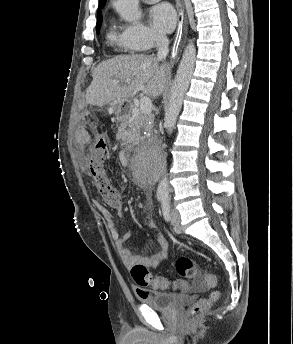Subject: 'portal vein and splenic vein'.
Returning <instances> with one entry per match:
<instances>
[{"mask_svg":"<svg viewBox=\"0 0 293 344\" xmlns=\"http://www.w3.org/2000/svg\"><path fill=\"white\" fill-rule=\"evenodd\" d=\"M115 84L119 83L118 81H113ZM152 110V101L149 97H142L140 100V111L144 114H149Z\"/></svg>","mask_w":293,"mask_h":344,"instance_id":"18ae733b","label":"portal vein and splenic vein"}]
</instances>
